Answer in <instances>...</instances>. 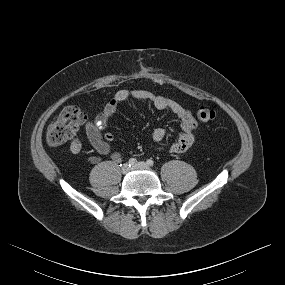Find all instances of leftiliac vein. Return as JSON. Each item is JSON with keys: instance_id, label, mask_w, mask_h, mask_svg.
<instances>
[{"instance_id": "1", "label": "left iliac vein", "mask_w": 285, "mask_h": 285, "mask_svg": "<svg viewBox=\"0 0 285 285\" xmlns=\"http://www.w3.org/2000/svg\"><path fill=\"white\" fill-rule=\"evenodd\" d=\"M132 169L147 170V169H149V166L146 163H144V162H138L134 166H132Z\"/></svg>"}]
</instances>
